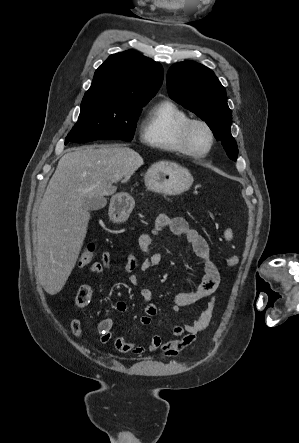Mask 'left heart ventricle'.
Returning <instances> with one entry per match:
<instances>
[{
    "mask_svg": "<svg viewBox=\"0 0 299 443\" xmlns=\"http://www.w3.org/2000/svg\"><path fill=\"white\" fill-rule=\"evenodd\" d=\"M190 144L196 151L206 150L209 145V134L207 130L200 125H195L190 134Z\"/></svg>",
    "mask_w": 299,
    "mask_h": 443,
    "instance_id": "1",
    "label": "left heart ventricle"
}]
</instances>
